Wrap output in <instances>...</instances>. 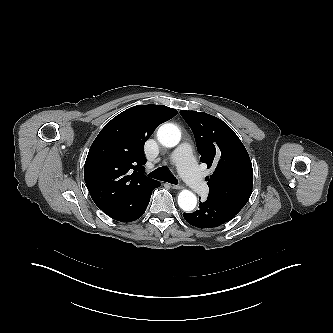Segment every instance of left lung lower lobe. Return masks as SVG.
Wrapping results in <instances>:
<instances>
[{"instance_id": "left-lung-lower-lobe-1", "label": "left lung lower lobe", "mask_w": 333, "mask_h": 333, "mask_svg": "<svg viewBox=\"0 0 333 333\" xmlns=\"http://www.w3.org/2000/svg\"><path fill=\"white\" fill-rule=\"evenodd\" d=\"M236 214L237 212L231 208L208 196L205 202H200L199 210L193 213H183V217L192 226L213 228L224 224Z\"/></svg>"}]
</instances>
